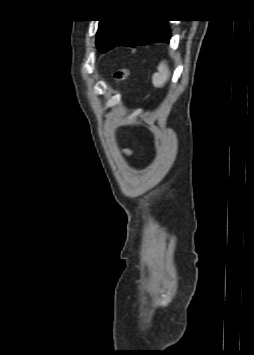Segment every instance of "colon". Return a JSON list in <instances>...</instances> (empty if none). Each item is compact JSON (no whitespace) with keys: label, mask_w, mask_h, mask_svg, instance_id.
Instances as JSON below:
<instances>
[{"label":"colon","mask_w":254,"mask_h":355,"mask_svg":"<svg viewBox=\"0 0 254 355\" xmlns=\"http://www.w3.org/2000/svg\"><path fill=\"white\" fill-rule=\"evenodd\" d=\"M130 75H131V72L128 69H118L114 73V81H115L116 85H119L121 82L128 79Z\"/></svg>","instance_id":"obj_1"}]
</instances>
